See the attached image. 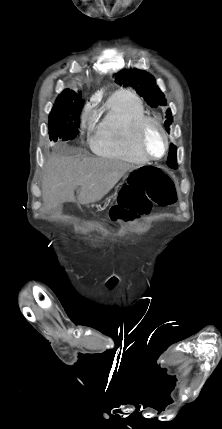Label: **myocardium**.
<instances>
[{"label":"myocardium","mask_w":222,"mask_h":429,"mask_svg":"<svg viewBox=\"0 0 222 429\" xmlns=\"http://www.w3.org/2000/svg\"><path fill=\"white\" fill-rule=\"evenodd\" d=\"M149 125L156 126L159 129V131L161 132V134L165 140V150H164L163 154L159 157H155V156L151 155L144 145V135H145V132H146ZM136 144H137L139 151L149 161L150 160L151 161H157V160L163 159L167 155L169 148H170V141H169V136H168L167 131L165 130V128L163 127V125L161 124V122L157 118L151 117V116H144L138 122L137 130H136Z\"/></svg>","instance_id":"f54148a6"}]
</instances>
